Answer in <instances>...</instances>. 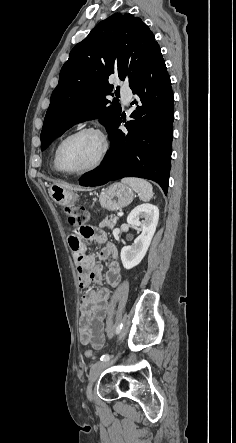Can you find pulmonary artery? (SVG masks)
<instances>
[{
	"mask_svg": "<svg viewBox=\"0 0 236 443\" xmlns=\"http://www.w3.org/2000/svg\"><path fill=\"white\" fill-rule=\"evenodd\" d=\"M123 96L125 98L126 101L130 100L132 93L131 92H124Z\"/></svg>",
	"mask_w": 236,
	"mask_h": 443,
	"instance_id": "obj_1",
	"label": "pulmonary artery"
}]
</instances>
